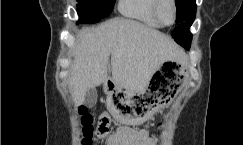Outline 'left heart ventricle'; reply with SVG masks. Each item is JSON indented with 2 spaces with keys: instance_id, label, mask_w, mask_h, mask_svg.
I'll return each instance as SVG.
<instances>
[{
  "instance_id": "b2bd125f",
  "label": "left heart ventricle",
  "mask_w": 243,
  "mask_h": 145,
  "mask_svg": "<svg viewBox=\"0 0 243 145\" xmlns=\"http://www.w3.org/2000/svg\"><path fill=\"white\" fill-rule=\"evenodd\" d=\"M161 14L165 22L171 23L173 20V9L167 0L163 3L161 8Z\"/></svg>"
}]
</instances>
